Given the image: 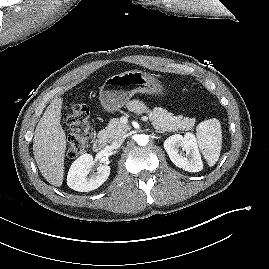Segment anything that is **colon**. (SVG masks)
Wrapping results in <instances>:
<instances>
[{"mask_svg": "<svg viewBox=\"0 0 269 269\" xmlns=\"http://www.w3.org/2000/svg\"><path fill=\"white\" fill-rule=\"evenodd\" d=\"M69 128L67 139V155L75 158L83 153L91 137V119L87 107L80 103H72L66 115Z\"/></svg>", "mask_w": 269, "mask_h": 269, "instance_id": "5ec220e1", "label": "colon"}]
</instances>
